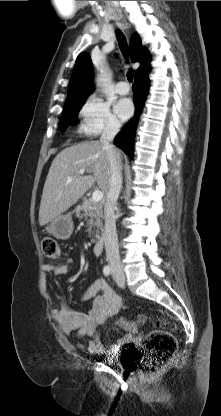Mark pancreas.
Masks as SVG:
<instances>
[{
  "mask_svg": "<svg viewBox=\"0 0 221 416\" xmlns=\"http://www.w3.org/2000/svg\"><path fill=\"white\" fill-rule=\"evenodd\" d=\"M76 216L79 219L85 218L87 225L89 226L88 231L91 232L92 228H97L96 238L99 239V229H102V218L103 209L101 203H95L92 200H85L82 205L76 209Z\"/></svg>",
  "mask_w": 221,
  "mask_h": 416,
  "instance_id": "obj_1",
  "label": "pancreas"
}]
</instances>
